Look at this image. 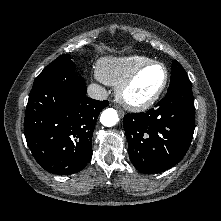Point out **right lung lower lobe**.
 Segmentation results:
<instances>
[{
	"mask_svg": "<svg viewBox=\"0 0 221 221\" xmlns=\"http://www.w3.org/2000/svg\"><path fill=\"white\" fill-rule=\"evenodd\" d=\"M82 77H56L31 91L24 134L36 161L53 174L81 171L92 157V135L108 101L86 96Z\"/></svg>",
	"mask_w": 221,
	"mask_h": 221,
	"instance_id": "98d812e1",
	"label": "right lung lower lobe"
}]
</instances>
